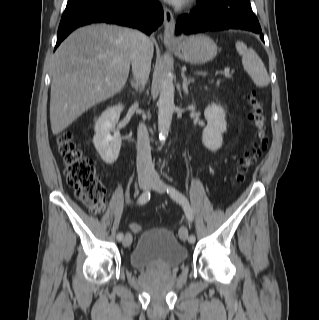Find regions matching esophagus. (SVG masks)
Here are the masks:
<instances>
[{"label": "esophagus", "instance_id": "34e87169", "mask_svg": "<svg viewBox=\"0 0 319 320\" xmlns=\"http://www.w3.org/2000/svg\"><path fill=\"white\" fill-rule=\"evenodd\" d=\"M164 42H172L175 40L174 29L175 21L173 13L167 7H164Z\"/></svg>", "mask_w": 319, "mask_h": 320}]
</instances>
